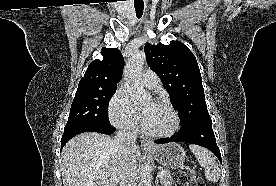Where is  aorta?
I'll return each instance as SVG.
<instances>
[{
  "instance_id": "aorta-1",
  "label": "aorta",
  "mask_w": 276,
  "mask_h": 186,
  "mask_svg": "<svg viewBox=\"0 0 276 186\" xmlns=\"http://www.w3.org/2000/svg\"><path fill=\"white\" fill-rule=\"evenodd\" d=\"M145 62V53L136 52L130 57L124 70L125 87L131 96L132 101L136 104L150 99V95L144 90L141 78V72ZM151 181V169L148 164H144L141 168L138 186H152Z\"/></svg>"
}]
</instances>
